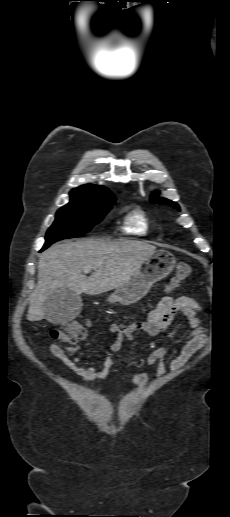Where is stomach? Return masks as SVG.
I'll return each mask as SVG.
<instances>
[{"label":"stomach","mask_w":230,"mask_h":517,"mask_svg":"<svg viewBox=\"0 0 230 517\" xmlns=\"http://www.w3.org/2000/svg\"><path fill=\"white\" fill-rule=\"evenodd\" d=\"M175 257L168 251L158 250L145 259L129 280L109 296L111 303L131 305L143 298L150 287L165 278L175 267Z\"/></svg>","instance_id":"1"}]
</instances>
